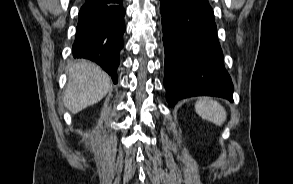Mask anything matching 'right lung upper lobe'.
Masks as SVG:
<instances>
[{"label": "right lung upper lobe", "instance_id": "right-lung-upper-lobe-1", "mask_svg": "<svg viewBox=\"0 0 293 184\" xmlns=\"http://www.w3.org/2000/svg\"><path fill=\"white\" fill-rule=\"evenodd\" d=\"M85 1H86V3L102 5V4H107L111 0H85Z\"/></svg>", "mask_w": 293, "mask_h": 184}]
</instances>
